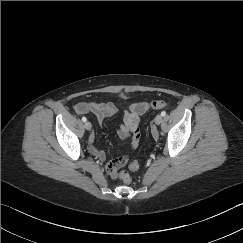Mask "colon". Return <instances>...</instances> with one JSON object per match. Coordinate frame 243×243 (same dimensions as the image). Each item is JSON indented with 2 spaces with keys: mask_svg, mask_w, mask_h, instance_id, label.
Returning <instances> with one entry per match:
<instances>
[{
  "mask_svg": "<svg viewBox=\"0 0 243 243\" xmlns=\"http://www.w3.org/2000/svg\"><path fill=\"white\" fill-rule=\"evenodd\" d=\"M150 106L154 109H162L167 106V102L164 100H154L150 103ZM120 164L127 166L131 171H136L139 169L140 164L138 161L133 160V161H128V158L125 155H121L118 160ZM120 179L124 183H130L131 182V176L128 173L127 170H123L119 173Z\"/></svg>",
  "mask_w": 243,
  "mask_h": 243,
  "instance_id": "1",
  "label": "colon"
}]
</instances>
